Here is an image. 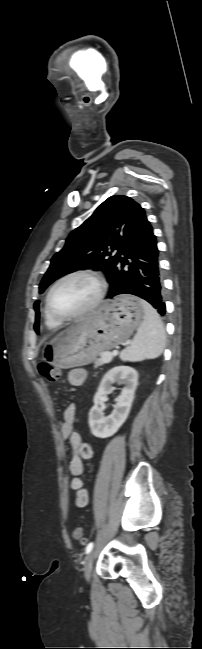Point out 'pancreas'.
<instances>
[{
  "instance_id": "cf45deb5",
  "label": "pancreas",
  "mask_w": 202,
  "mask_h": 649,
  "mask_svg": "<svg viewBox=\"0 0 202 649\" xmlns=\"http://www.w3.org/2000/svg\"><path fill=\"white\" fill-rule=\"evenodd\" d=\"M100 355H102V353H100ZM103 364H105V363L101 360V358L96 359V360H95V364H94V368H97V367H99V366H102Z\"/></svg>"
}]
</instances>
